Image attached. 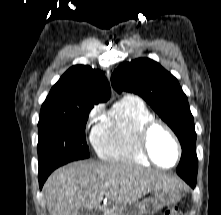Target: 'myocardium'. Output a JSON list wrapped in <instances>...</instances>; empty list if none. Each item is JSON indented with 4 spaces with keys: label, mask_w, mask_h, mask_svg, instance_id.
Listing matches in <instances>:
<instances>
[{
    "label": "myocardium",
    "mask_w": 221,
    "mask_h": 215,
    "mask_svg": "<svg viewBox=\"0 0 221 215\" xmlns=\"http://www.w3.org/2000/svg\"><path fill=\"white\" fill-rule=\"evenodd\" d=\"M156 128H161L163 129L172 139L175 147H176V159L172 165L169 166H163L159 164L155 158L153 157L150 146H149V139L152 131ZM137 142H138V147L142 154L145 156V158L153 165L156 167H159L161 169H171L174 168L180 161L181 155H182V148L180 145V142L174 133V131L171 129L169 125H167L165 122L158 120V119H151L148 122H146L141 129L138 132L137 136Z\"/></svg>",
    "instance_id": "1"
}]
</instances>
